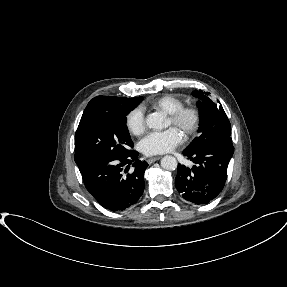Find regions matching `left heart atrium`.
Returning a JSON list of instances; mask_svg holds the SVG:
<instances>
[{"instance_id":"obj_1","label":"left heart atrium","mask_w":287,"mask_h":287,"mask_svg":"<svg viewBox=\"0 0 287 287\" xmlns=\"http://www.w3.org/2000/svg\"><path fill=\"white\" fill-rule=\"evenodd\" d=\"M183 142V136L176 127L161 132H151L139 143L140 151L147 155H160L172 151Z\"/></svg>"}]
</instances>
